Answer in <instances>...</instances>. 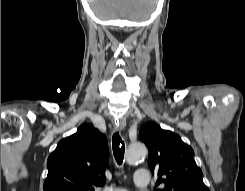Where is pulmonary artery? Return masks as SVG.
<instances>
[{
	"instance_id": "pulmonary-artery-1",
	"label": "pulmonary artery",
	"mask_w": 245,
	"mask_h": 191,
	"mask_svg": "<svg viewBox=\"0 0 245 191\" xmlns=\"http://www.w3.org/2000/svg\"><path fill=\"white\" fill-rule=\"evenodd\" d=\"M134 184L139 188L147 187L150 182V174L147 169L139 168L134 173ZM104 191H128L123 188H106Z\"/></svg>"
}]
</instances>
